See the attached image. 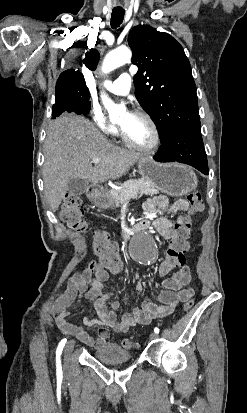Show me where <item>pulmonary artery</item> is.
Wrapping results in <instances>:
<instances>
[{"label":"pulmonary artery","mask_w":247,"mask_h":413,"mask_svg":"<svg viewBox=\"0 0 247 413\" xmlns=\"http://www.w3.org/2000/svg\"><path fill=\"white\" fill-rule=\"evenodd\" d=\"M132 83V75L125 72L120 74L115 80L105 79L101 85L111 93L124 95L130 91Z\"/></svg>","instance_id":"1"}]
</instances>
